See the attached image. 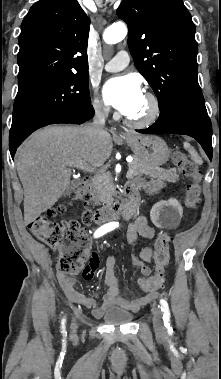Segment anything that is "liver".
<instances>
[{
	"instance_id": "obj_1",
	"label": "liver",
	"mask_w": 221,
	"mask_h": 379,
	"mask_svg": "<svg viewBox=\"0 0 221 379\" xmlns=\"http://www.w3.org/2000/svg\"><path fill=\"white\" fill-rule=\"evenodd\" d=\"M112 148L107 131L92 136L85 126H48L34 132L15 155L24 189L25 223L33 222L58 201L70 184L74 164L102 166Z\"/></svg>"
}]
</instances>
